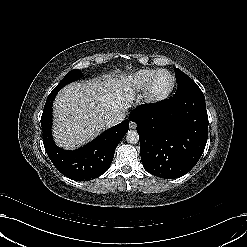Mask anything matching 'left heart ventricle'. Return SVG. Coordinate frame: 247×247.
Returning <instances> with one entry per match:
<instances>
[{
  "instance_id": "left-heart-ventricle-1",
  "label": "left heart ventricle",
  "mask_w": 247,
  "mask_h": 247,
  "mask_svg": "<svg viewBox=\"0 0 247 247\" xmlns=\"http://www.w3.org/2000/svg\"><path fill=\"white\" fill-rule=\"evenodd\" d=\"M170 83V78L168 75L166 74H162L159 79H158V82H157V85L158 87L160 88H164V87H167Z\"/></svg>"
}]
</instances>
